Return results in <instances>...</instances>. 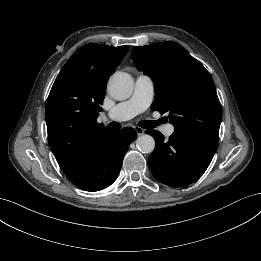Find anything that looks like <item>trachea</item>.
Instances as JSON below:
<instances>
[{"mask_svg": "<svg viewBox=\"0 0 261 261\" xmlns=\"http://www.w3.org/2000/svg\"><path fill=\"white\" fill-rule=\"evenodd\" d=\"M161 121H141L139 122V126L143 127V128H154L155 126H157L158 124H160ZM108 129L111 130H119L121 128L120 124L117 122H111L107 125Z\"/></svg>", "mask_w": 261, "mask_h": 261, "instance_id": "trachea-1", "label": "trachea"}]
</instances>
